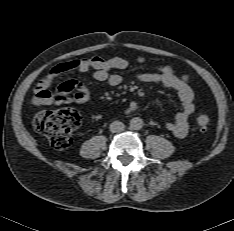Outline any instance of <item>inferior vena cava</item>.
Masks as SVG:
<instances>
[{
  "label": "inferior vena cava",
  "instance_id": "1",
  "mask_svg": "<svg viewBox=\"0 0 234 231\" xmlns=\"http://www.w3.org/2000/svg\"><path fill=\"white\" fill-rule=\"evenodd\" d=\"M109 128L112 133H117L124 130L125 125L120 121H113Z\"/></svg>",
  "mask_w": 234,
  "mask_h": 231
}]
</instances>
